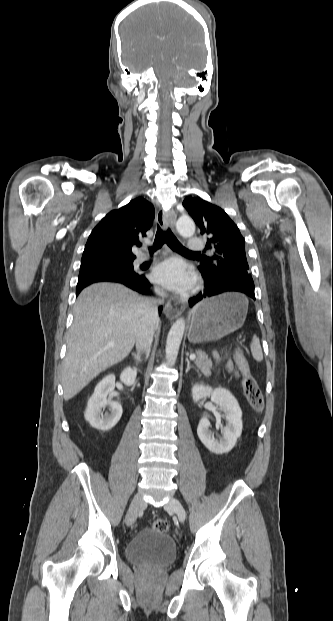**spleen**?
Masks as SVG:
<instances>
[{"instance_id": "3e777b00", "label": "spleen", "mask_w": 333, "mask_h": 621, "mask_svg": "<svg viewBox=\"0 0 333 621\" xmlns=\"http://www.w3.org/2000/svg\"><path fill=\"white\" fill-rule=\"evenodd\" d=\"M250 349H251L253 358L256 361L261 362L263 360V353H262L260 341L257 337H253V340L250 344Z\"/></svg>"}]
</instances>
